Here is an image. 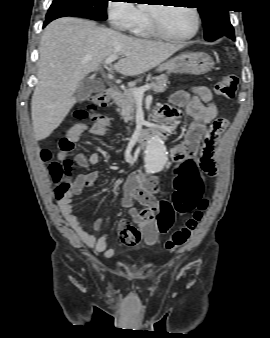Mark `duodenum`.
Segmentation results:
<instances>
[{"label":"duodenum","instance_id":"duodenum-1","mask_svg":"<svg viewBox=\"0 0 270 338\" xmlns=\"http://www.w3.org/2000/svg\"><path fill=\"white\" fill-rule=\"evenodd\" d=\"M108 96L112 101H117L121 97V92L119 88L112 87L108 90ZM168 132V125L164 121H159L152 123L150 126L144 128L138 145H143L147 142L150 136H155L157 138H163Z\"/></svg>","mask_w":270,"mask_h":338}]
</instances>
